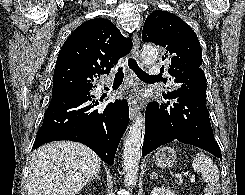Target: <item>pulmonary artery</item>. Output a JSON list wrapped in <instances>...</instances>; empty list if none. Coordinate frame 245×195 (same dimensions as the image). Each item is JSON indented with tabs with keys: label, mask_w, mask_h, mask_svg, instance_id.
Here are the masks:
<instances>
[{
	"label": "pulmonary artery",
	"mask_w": 245,
	"mask_h": 195,
	"mask_svg": "<svg viewBox=\"0 0 245 195\" xmlns=\"http://www.w3.org/2000/svg\"><path fill=\"white\" fill-rule=\"evenodd\" d=\"M159 70L156 69V65H153L152 72L157 73Z\"/></svg>",
	"instance_id": "1"
}]
</instances>
